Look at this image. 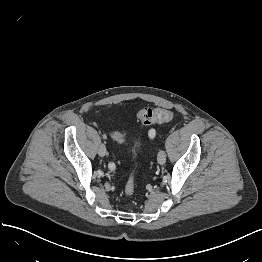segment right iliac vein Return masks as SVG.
Listing matches in <instances>:
<instances>
[{
	"instance_id": "1",
	"label": "right iliac vein",
	"mask_w": 262,
	"mask_h": 262,
	"mask_svg": "<svg viewBox=\"0 0 262 262\" xmlns=\"http://www.w3.org/2000/svg\"><path fill=\"white\" fill-rule=\"evenodd\" d=\"M106 153H107V150H106L105 145H104V144H101V145L99 146V149H98V154L103 157V156L106 155Z\"/></svg>"
}]
</instances>
